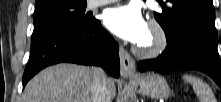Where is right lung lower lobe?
Here are the masks:
<instances>
[{
	"label": "right lung lower lobe",
	"instance_id": "1",
	"mask_svg": "<svg viewBox=\"0 0 221 102\" xmlns=\"http://www.w3.org/2000/svg\"><path fill=\"white\" fill-rule=\"evenodd\" d=\"M60 62L98 65L116 78L120 74L118 44L97 19L56 30L32 45L23 87L41 69Z\"/></svg>",
	"mask_w": 221,
	"mask_h": 102
}]
</instances>
